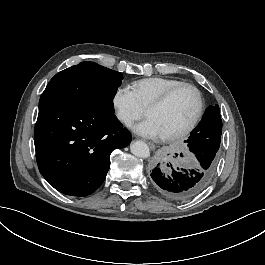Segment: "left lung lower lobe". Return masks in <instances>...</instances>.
I'll use <instances>...</instances> for the list:
<instances>
[{"label": "left lung lower lobe", "mask_w": 265, "mask_h": 265, "mask_svg": "<svg viewBox=\"0 0 265 265\" xmlns=\"http://www.w3.org/2000/svg\"><path fill=\"white\" fill-rule=\"evenodd\" d=\"M190 135L185 142L196 156L193 167L165 168L157 165L151 172V184L163 196L186 201L201 193L214 177L217 165V152L220 144L213 145L208 141Z\"/></svg>", "instance_id": "left-lung-lower-lobe-1"}]
</instances>
